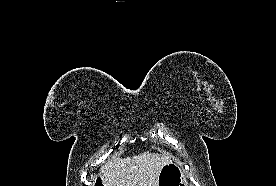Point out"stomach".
<instances>
[{
    "instance_id": "stomach-1",
    "label": "stomach",
    "mask_w": 276,
    "mask_h": 186,
    "mask_svg": "<svg viewBox=\"0 0 276 186\" xmlns=\"http://www.w3.org/2000/svg\"><path fill=\"white\" fill-rule=\"evenodd\" d=\"M158 186H187V180L182 169L171 161L160 170Z\"/></svg>"
}]
</instances>
